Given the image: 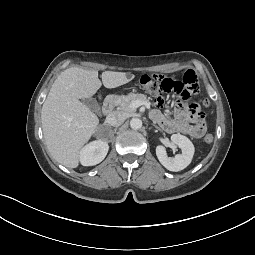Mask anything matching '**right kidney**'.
I'll use <instances>...</instances> for the list:
<instances>
[{
  "label": "right kidney",
  "instance_id": "right-kidney-1",
  "mask_svg": "<svg viewBox=\"0 0 255 255\" xmlns=\"http://www.w3.org/2000/svg\"><path fill=\"white\" fill-rule=\"evenodd\" d=\"M109 150L108 143L103 140L92 141L80 151V162L83 166L99 164L106 157Z\"/></svg>",
  "mask_w": 255,
  "mask_h": 255
}]
</instances>
